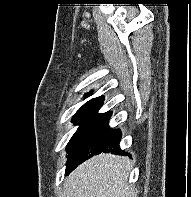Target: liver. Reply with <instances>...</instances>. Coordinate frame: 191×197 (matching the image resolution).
Here are the masks:
<instances>
[{
  "mask_svg": "<svg viewBox=\"0 0 191 197\" xmlns=\"http://www.w3.org/2000/svg\"><path fill=\"white\" fill-rule=\"evenodd\" d=\"M129 158L100 154L79 165L68 177L67 197H135L127 184Z\"/></svg>",
  "mask_w": 191,
  "mask_h": 197,
  "instance_id": "obj_1",
  "label": "liver"
}]
</instances>
